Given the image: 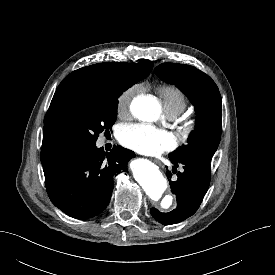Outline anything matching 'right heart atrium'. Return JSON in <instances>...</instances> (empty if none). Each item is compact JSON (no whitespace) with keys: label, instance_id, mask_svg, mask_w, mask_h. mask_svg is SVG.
Here are the masks:
<instances>
[{"label":"right heart atrium","instance_id":"1","mask_svg":"<svg viewBox=\"0 0 275 275\" xmlns=\"http://www.w3.org/2000/svg\"><path fill=\"white\" fill-rule=\"evenodd\" d=\"M140 84H134L124 89L117 98L116 110L120 117L128 114L129 108L134 97L141 91Z\"/></svg>","mask_w":275,"mask_h":275}]
</instances>
